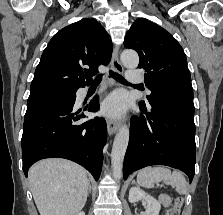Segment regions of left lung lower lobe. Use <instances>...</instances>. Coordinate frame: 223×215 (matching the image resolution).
Here are the masks:
<instances>
[{
    "instance_id": "0a47b994",
    "label": "left lung lower lobe",
    "mask_w": 223,
    "mask_h": 215,
    "mask_svg": "<svg viewBox=\"0 0 223 215\" xmlns=\"http://www.w3.org/2000/svg\"><path fill=\"white\" fill-rule=\"evenodd\" d=\"M139 106L147 118L132 117L124 179L146 166L167 165L185 172L191 183L196 150L194 110L167 103Z\"/></svg>"
}]
</instances>
